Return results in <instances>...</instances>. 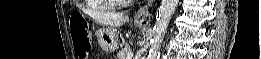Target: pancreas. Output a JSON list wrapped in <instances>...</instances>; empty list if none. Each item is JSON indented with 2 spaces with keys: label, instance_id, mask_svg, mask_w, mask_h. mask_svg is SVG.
Instances as JSON below:
<instances>
[{
  "label": "pancreas",
  "instance_id": "1",
  "mask_svg": "<svg viewBox=\"0 0 261 59\" xmlns=\"http://www.w3.org/2000/svg\"><path fill=\"white\" fill-rule=\"evenodd\" d=\"M131 47L129 45H125L117 54L118 59H126L128 54L131 53Z\"/></svg>",
  "mask_w": 261,
  "mask_h": 59
}]
</instances>
